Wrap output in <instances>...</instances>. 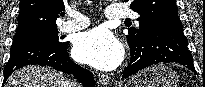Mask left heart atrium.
<instances>
[{"mask_svg":"<svg viewBox=\"0 0 205 87\" xmlns=\"http://www.w3.org/2000/svg\"><path fill=\"white\" fill-rule=\"evenodd\" d=\"M74 57L101 70L117 67L123 58V48L106 29L95 28L80 34L74 44Z\"/></svg>","mask_w":205,"mask_h":87,"instance_id":"39dd6f15","label":"left heart atrium"}]
</instances>
